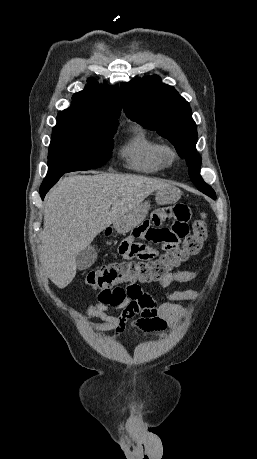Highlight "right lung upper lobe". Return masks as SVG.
I'll use <instances>...</instances> for the list:
<instances>
[{"mask_svg":"<svg viewBox=\"0 0 257 459\" xmlns=\"http://www.w3.org/2000/svg\"><path fill=\"white\" fill-rule=\"evenodd\" d=\"M87 82L88 86L73 96L71 107L60 111L57 119L100 128H117V116L121 110L118 87L99 85L92 78Z\"/></svg>","mask_w":257,"mask_h":459,"instance_id":"right-lung-upper-lobe-1","label":"right lung upper lobe"}]
</instances>
